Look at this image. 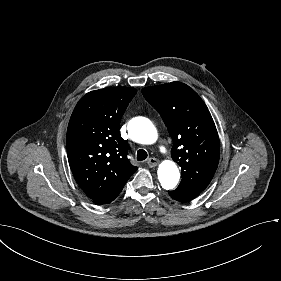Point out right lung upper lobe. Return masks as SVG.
Wrapping results in <instances>:
<instances>
[{
    "label": "right lung upper lobe",
    "mask_w": 281,
    "mask_h": 281,
    "mask_svg": "<svg viewBox=\"0 0 281 281\" xmlns=\"http://www.w3.org/2000/svg\"><path fill=\"white\" fill-rule=\"evenodd\" d=\"M136 92L129 87L91 91L71 115L66 137L69 165L93 201L126 183L137 170L127 158V141L119 131L121 117Z\"/></svg>",
    "instance_id": "1"
}]
</instances>
